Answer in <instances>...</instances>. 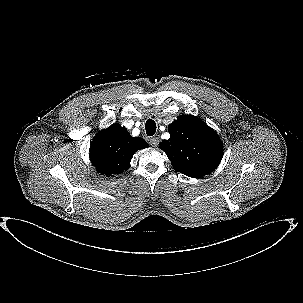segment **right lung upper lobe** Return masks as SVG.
I'll return each instance as SVG.
<instances>
[{"instance_id":"1","label":"right lung upper lobe","mask_w":303,"mask_h":303,"mask_svg":"<svg viewBox=\"0 0 303 303\" xmlns=\"http://www.w3.org/2000/svg\"><path fill=\"white\" fill-rule=\"evenodd\" d=\"M148 146L143 138L132 137L125 127L113 124L94 137L90 159L102 175L121 174L130 167L134 153Z\"/></svg>"}]
</instances>
